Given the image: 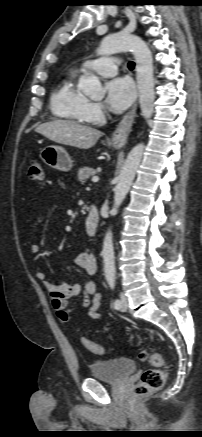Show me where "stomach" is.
<instances>
[{
  "label": "stomach",
  "instance_id": "obj_1",
  "mask_svg": "<svg viewBox=\"0 0 202 437\" xmlns=\"http://www.w3.org/2000/svg\"><path fill=\"white\" fill-rule=\"evenodd\" d=\"M113 146L115 148L119 147L116 143H113ZM40 158L46 165L63 172L70 171L73 166L71 157L61 146H46L41 150Z\"/></svg>",
  "mask_w": 202,
  "mask_h": 437
}]
</instances>
